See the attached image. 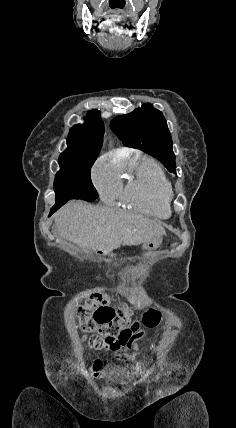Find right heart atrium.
<instances>
[{
	"label": "right heart atrium",
	"mask_w": 236,
	"mask_h": 428,
	"mask_svg": "<svg viewBox=\"0 0 236 428\" xmlns=\"http://www.w3.org/2000/svg\"><path fill=\"white\" fill-rule=\"evenodd\" d=\"M92 183L103 202H112L121 192L119 173L106 160L100 159L92 168Z\"/></svg>",
	"instance_id": "d8ad5b80"
}]
</instances>
